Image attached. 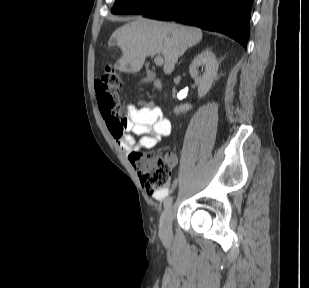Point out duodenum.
<instances>
[{"label":"duodenum","mask_w":309,"mask_h":288,"mask_svg":"<svg viewBox=\"0 0 309 288\" xmlns=\"http://www.w3.org/2000/svg\"><path fill=\"white\" fill-rule=\"evenodd\" d=\"M155 84H156V87H157L158 89H161V88H162V83H161V81L156 80Z\"/></svg>","instance_id":"410a0bca"}]
</instances>
